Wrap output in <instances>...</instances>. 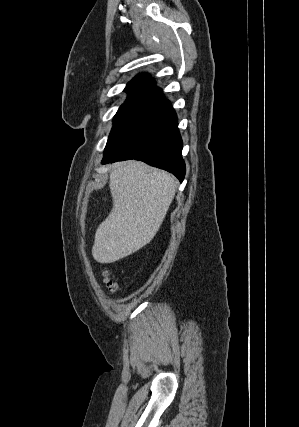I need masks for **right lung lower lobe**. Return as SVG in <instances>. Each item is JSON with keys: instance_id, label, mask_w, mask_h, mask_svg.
<instances>
[{"instance_id": "98d812e1", "label": "right lung lower lobe", "mask_w": 299, "mask_h": 427, "mask_svg": "<svg viewBox=\"0 0 299 427\" xmlns=\"http://www.w3.org/2000/svg\"><path fill=\"white\" fill-rule=\"evenodd\" d=\"M177 116L170 102L163 99L112 148L104 152L102 164L127 159L141 160L173 173L180 182L185 176L182 139Z\"/></svg>"}]
</instances>
